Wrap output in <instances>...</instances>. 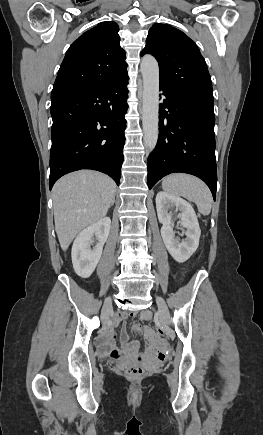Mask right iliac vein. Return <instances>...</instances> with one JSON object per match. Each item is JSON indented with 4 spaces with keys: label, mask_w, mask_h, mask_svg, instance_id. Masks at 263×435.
<instances>
[{
    "label": "right iliac vein",
    "mask_w": 263,
    "mask_h": 435,
    "mask_svg": "<svg viewBox=\"0 0 263 435\" xmlns=\"http://www.w3.org/2000/svg\"><path fill=\"white\" fill-rule=\"evenodd\" d=\"M112 309V300L109 298L105 301L103 308H102V314L101 317L103 320H105L108 317L109 312Z\"/></svg>",
    "instance_id": "right-iliac-vein-1"
}]
</instances>
